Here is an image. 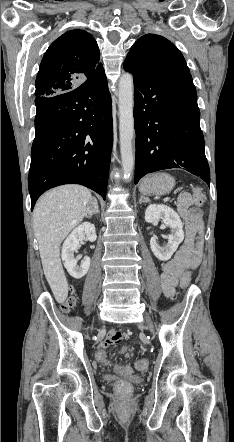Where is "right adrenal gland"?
Segmentation results:
<instances>
[{
  "label": "right adrenal gland",
  "mask_w": 234,
  "mask_h": 442,
  "mask_svg": "<svg viewBox=\"0 0 234 442\" xmlns=\"http://www.w3.org/2000/svg\"><path fill=\"white\" fill-rule=\"evenodd\" d=\"M91 203L94 204V208H95L94 211L91 210V206H90ZM96 213H99V206H98V202H97L96 198L92 197L91 200H90L89 205L87 206V212H86L85 216L86 217H92V215L96 214Z\"/></svg>",
  "instance_id": "1"
}]
</instances>
